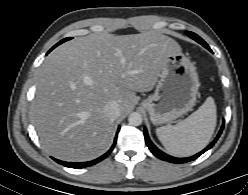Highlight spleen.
<instances>
[{"label":"spleen","instance_id":"1","mask_svg":"<svg viewBox=\"0 0 248 195\" xmlns=\"http://www.w3.org/2000/svg\"><path fill=\"white\" fill-rule=\"evenodd\" d=\"M216 105L212 97L185 120L156 129L165 149L177 157H188L205 148L216 127Z\"/></svg>","mask_w":248,"mask_h":195}]
</instances>
